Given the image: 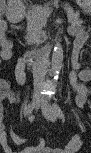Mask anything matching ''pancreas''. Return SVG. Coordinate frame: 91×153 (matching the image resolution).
Here are the masks:
<instances>
[{"label": "pancreas", "mask_w": 91, "mask_h": 153, "mask_svg": "<svg viewBox=\"0 0 91 153\" xmlns=\"http://www.w3.org/2000/svg\"><path fill=\"white\" fill-rule=\"evenodd\" d=\"M68 12V20L72 24L74 30L81 27L82 21L78 15L70 8H66ZM51 9L49 5L35 7L27 16V35L25 37L28 45L40 42L42 28Z\"/></svg>", "instance_id": "pancreas-1"}]
</instances>
